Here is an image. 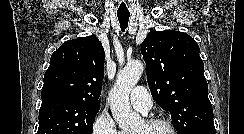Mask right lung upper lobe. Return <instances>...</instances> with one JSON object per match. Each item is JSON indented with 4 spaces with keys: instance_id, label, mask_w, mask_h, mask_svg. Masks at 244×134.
I'll use <instances>...</instances> for the list:
<instances>
[{
    "instance_id": "obj_1",
    "label": "right lung upper lobe",
    "mask_w": 244,
    "mask_h": 134,
    "mask_svg": "<svg viewBox=\"0 0 244 134\" xmlns=\"http://www.w3.org/2000/svg\"><path fill=\"white\" fill-rule=\"evenodd\" d=\"M105 53L96 36L66 41L51 56L42 102L61 99L100 106Z\"/></svg>"
}]
</instances>
